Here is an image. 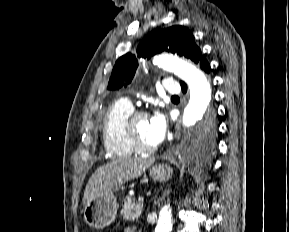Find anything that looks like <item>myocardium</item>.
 <instances>
[{"label": "myocardium", "mask_w": 289, "mask_h": 232, "mask_svg": "<svg viewBox=\"0 0 289 232\" xmlns=\"http://www.w3.org/2000/svg\"><path fill=\"white\" fill-rule=\"evenodd\" d=\"M148 117V113L143 110H132L124 122V134L130 145L138 153H152L157 149V146H147L143 144L137 137L134 125L137 119Z\"/></svg>", "instance_id": "1"}]
</instances>
